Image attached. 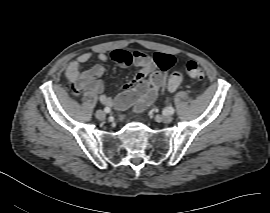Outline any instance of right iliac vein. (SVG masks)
I'll list each match as a JSON object with an SVG mask.
<instances>
[{
	"label": "right iliac vein",
	"instance_id": "right-iliac-vein-1",
	"mask_svg": "<svg viewBox=\"0 0 270 213\" xmlns=\"http://www.w3.org/2000/svg\"><path fill=\"white\" fill-rule=\"evenodd\" d=\"M95 115H96L97 119H99V120L105 119V112L102 110H97Z\"/></svg>",
	"mask_w": 270,
	"mask_h": 213
}]
</instances>
